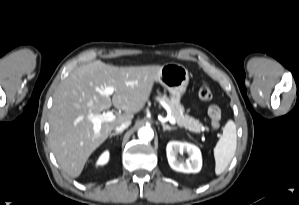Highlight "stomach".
Wrapping results in <instances>:
<instances>
[{
    "instance_id": "0dacf381",
    "label": "stomach",
    "mask_w": 299,
    "mask_h": 205,
    "mask_svg": "<svg viewBox=\"0 0 299 205\" xmlns=\"http://www.w3.org/2000/svg\"><path fill=\"white\" fill-rule=\"evenodd\" d=\"M158 82L167 89L172 96L180 99L189 83V72L180 64L167 63L161 66Z\"/></svg>"
}]
</instances>
